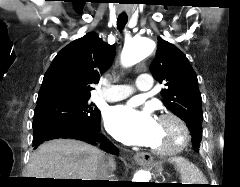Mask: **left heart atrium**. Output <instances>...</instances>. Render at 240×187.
<instances>
[{
  "label": "left heart atrium",
  "mask_w": 240,
  "mask_h": 187,
  "mask_svg": "<svg viewBox=\"0 0 240 187\" xmlns=\"http://www.w3.org/2000/svg\"><path fill=\"white\" fill-rule=\"evenodd\" d=\"M108 132L127 145L151 146L156 138L158 122L147 110H137L132 105H118L105 115Z\"/></svg>",
  "instance_id": "1"
}]
</instances>
